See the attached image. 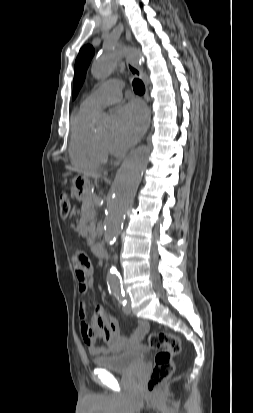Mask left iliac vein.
Returning a JSON list of instances; mask_svg holds the SVG:
<instances>
[{
    "instance_id": "1",
    "label": "left iliac vein",
    "mask_w": 253,
    "mask_h": 413,
    "mask_svg": "<svg viewBox=\"0 0 253 413\" xmlns=\"http://www.w3.org/2000/svg\"><path fill=\"white\" fill-rule=\"evenodd\" d=\"M126 301H127V304H126V306L124 307V312H125L126 314H129V313L131 312V306H130V300H129V298H126Z\"/></svg>"
}]
</instances>
